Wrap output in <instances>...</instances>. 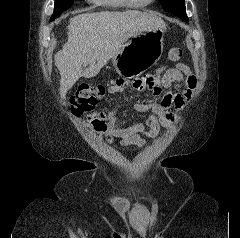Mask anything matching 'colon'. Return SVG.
<instances>
[{
	"label": "colon",
	"instance_id": "5ec220e1",
	"mask_svg": "<svg viewBox=\"0 0 240 238\" xmlns=\"http://www.w3.org/2000/svg\"><path fill=\"white\" fill-rule=\"evenodd\" d=\"M181 56H182V51L180 48H171L168 51V59L170 61H173V62L178 61L181 58ZM105 92L106 90L103 85H93V84L80 85L76 89L72 97L70 98V106H71L72 112L77 116L91 112L95 107L97 100L102 96H104ZM91 115H90V118H91ZM91 123L93 128L97 131L106 130V125L103 120L94 118L92 119Z\"/></svg>",
	"mask_w": 240,
	"mask_h": 238
}]
</instances>
